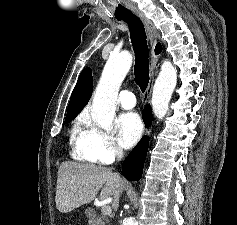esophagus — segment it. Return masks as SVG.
I'll return each mask as SVG.
<instances>
[{"instance_id":"esophagus-1","label":"esophagus","mask_w":237,"mask_h":225,"mask_svg":"<svg viewBox=\"0 0 237 225\" xmlns=\"http://www.w3.org/2000/svg\"><path fill=\"white\" fill-rule=\"evenodd\" d=\"M133 13L136 16H138L140 18V20L143 22L144 26L146 27V29L148 31L149 40H150V54H151L150 70H149L150 81H149V85L147 88V94L143 99V105L145 106L150 99V94H151L152 87H153L154 70H155L156 63H157V59L154 54V49H155V45L157 44V42L160 41V35H159L157 29L155 28L153 22L149 18H147L143 12H141L140 10L134 9ZM150 134H151V129L150 128L146 129L145 135L150 136Z\"/></svg>"}]
</instances>
